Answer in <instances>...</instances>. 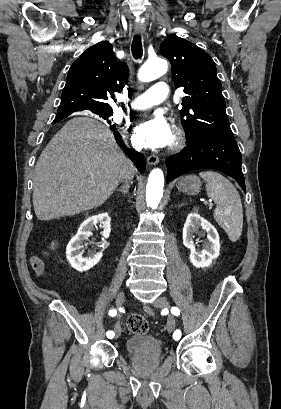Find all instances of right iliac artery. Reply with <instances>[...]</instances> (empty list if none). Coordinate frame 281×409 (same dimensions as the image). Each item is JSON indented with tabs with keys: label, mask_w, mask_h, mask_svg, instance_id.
<instances>
[{
	"label": "right iliac artery",
	"mask_w": 281,
	"mask_h": 409,
	"mask_svg": "<svg viewBox=\"0 0 281 409\" xmlns=\"http://www.w3.org/2000/svg\"><path fill=\"white\" fill-rule=\"evenodd\" d=\"M116 314H117V311L114 310V309L109 311L110 316H115ZM107 337L108 338H113L114 337V332L113 331H108L107 332Z\"/></svg>",
	"instance_id": "right-iliac-artery-1"
}]
</instances>
